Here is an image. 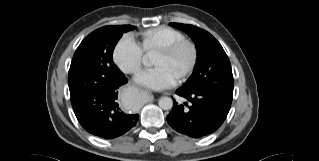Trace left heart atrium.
<instances>
[{
	"mask_svg": "<svg viewBox=\"0 0 319 161\" xmlns=\"http://www.w3.org/2000/svg\"><path fill=\"white\" fill-rule=\"evenodd\" d=\"M136 81L146 87L163 90L172 87L175 79L169 72L159 66L148 68L136 76Z\"/></svg>",
	"mask_w": 319,
	"mask_h": 161,
	"instance_id": "39dd6f15",
	"label": "left heart atrium"
}]
</instances>
